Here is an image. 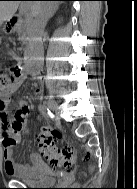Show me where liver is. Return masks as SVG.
Here are the masks:
<instances>
[{"label": "liver", "mask_w": 137, "mask_h": 189, "mask_svg": "<svg viewBox=\"0 0 137 189\" xmlns=\"http://www.w3.org/2000/svg\"><path fill=\"white\" fill-rule=\"evenodd\" d=\"M19 3V1H0V26L13 17L18 9ZM47 4L43 1L30 2L32 13L36 15Z\"/></svg>", "instance_id": "6515ba94"}]
</instances>
